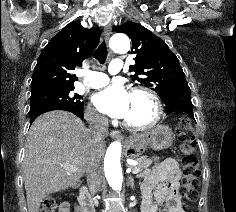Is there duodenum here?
I'll use <instances>...</instances> for the list:
<instances>
[{
    "instance_id": "obj_1",
    "label": "duodenum",
    "mask_w": 236,
    "mask_h": 212,
    "mask_svg": "<svg viewBox=\"0 0 236 212\" xmlns=\"http://www.w3.org/2000/svg\"><path fill=\"white\" fill-rule=\"evenodd\" d=\"M79 203L82 212H95V207L92 202L89 190L86 186H81L79 191Z\"/></svg>"
}]
</instances>
